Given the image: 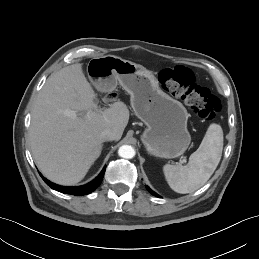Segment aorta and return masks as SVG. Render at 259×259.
I'll list each match as a JSON object with an SVG mask.
<instances>
[{
	"label": "aorta",
	"instance_id": "aorta-1",
	"mask_svg": "<svg viewBox=\"0 0 259 259\" xmlns=\"http://www.w3.org/2000/svg\"><path fill=\"white\" fill-rule=\"evenodd\" d=\"M118 155L122 158L131 159L135 156V150L130 145H122L118 149Z\"/></svg>",
	"mask_w": 259,
	"mask_h": 259
}]
</instances>
